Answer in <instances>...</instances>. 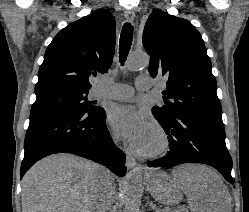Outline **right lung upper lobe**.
Returning a JSON list of instances; mask_svg holds the SVG:
<instances>
[{"mask_svg":"<svg viewBox=\"0 0 249 212\" xmlns=\"http://www.w3.org/2000/svg\"><path fill=\"white\" fill-rule=\"evenodd\" d=\"M115 51V19L98 9L61 30L39 68L36 96L54 91H84L90 76L110 68Z\"/></svg>","mask_w":249,"mask_h":212,"instance_id":"1","label":"right lung upper lobe"}]
</instances>
